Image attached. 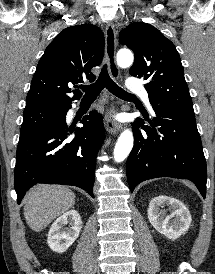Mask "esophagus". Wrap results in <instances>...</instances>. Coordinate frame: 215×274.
<instances>
[{
	"instance_id": "obj_1",
	"label": "esophagus",
	"mask_w": 215,
	"mask_h": 274,
	"mask_svg": "<svg viewBox=\"0 0 215 274\" xmlns=\"http://www.w3.org/2000/svg\"><path fill=\"white\" fill-rule=\"evenodd\" d=\"M105 45H106V60L108 64V69L111 76L118 80L120 78V71L117 67L115 61V53H116V33L114 29V25L112 23H108L105 29ZM113 110L110 109L105 116V128L111 134H117L122 129V124L113 120L112 118Z\"/></svg>"
}]
</instances>
